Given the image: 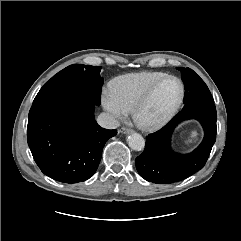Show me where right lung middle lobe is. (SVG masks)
I'll return each mask as SVG.
<instances>
[{
    "label": "right lung middle lobe",
    "instance_id": "dd1d6c3e",
    "mask_svg": "<svg viewBox=\"0 0 241 241\" xmlns=\"http://www.w3.org/2000/svg\"><path fill=\"white\" fill-rule=\"evenodd\" d=\"M100 66L73 64L54 75L38 92L32 106L69 99L87 98L99 105L103 78Z\"/></svg>",
    "mask_w": 241,
    "mask_h": 241
}]
</instances>
